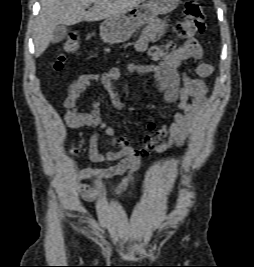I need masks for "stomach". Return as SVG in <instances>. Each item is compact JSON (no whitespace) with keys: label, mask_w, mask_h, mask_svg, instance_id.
<instances>
[{"label":"stomach","mask_w":254,"mask_h":267,"mask_svg":"<svg viewBox=\"0 0 254 267\" xmlns=\"http://www.w3.org/2000/svg\"><path fill=\"white\" fill-rule=\"evenodd\" d=\"M180 0H149L118 16L105 19L100 25V37L108 43L128 40L141 26L150 23L158 15L170 13Z\"/></svg>","instance_id":"1"}]
</instances>
